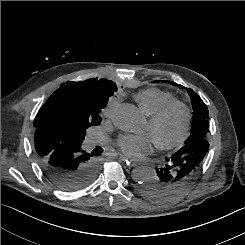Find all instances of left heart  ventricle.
Here are the masks:
<instances>
[{
	"label": "left heart ventricle",
	"instance_id": "1",
	"mask_svg": "<svg viewBox=\"0 0 245 245\" xmlns=\"http://www.w3.org/2000/svg\"><path fill=\"white\" fill-rule=\"evenodd\" d=\"M184 124L182 110L171 111L159 124L151 127L149 122L145 132L149 134L153 142H171L179 137Z\"/></svg>",
	"mask_w": 245,
	"mask_h": 245
}]
</instances>
